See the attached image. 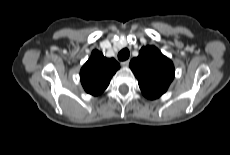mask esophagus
<instances>
[{"instance_id":"1","label":"esophagus","mask_w":230,"mask_h":155,"mask_svg":"<svg viewBox=\"0 0 230 155\" xmlns=\"http://www.w3.org/2000/svg\"><path fill=\"white\" fill-rule=\"evenodd\" d=\"M129 62H130L129 60L123 61V62H121V65L123 67H127L129 65Z\"/></svg>"}]
</instances>
